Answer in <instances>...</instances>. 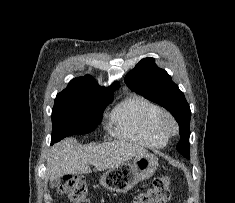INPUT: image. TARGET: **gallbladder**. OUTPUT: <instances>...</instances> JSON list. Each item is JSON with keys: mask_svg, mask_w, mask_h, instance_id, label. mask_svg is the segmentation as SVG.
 Returning <instances> with one entry per match:
<instances>
[{"mask_svg": "<svg viewBox=\"0 0 235 203\" xmlns=\"http://www.w3.org/2000/svg\"><path fill=\"white\" fill-rule=\"evenodd\" d=\"M59 183H60L59 179L53 180V181H51V186L56 187L59 185Z\"/></svg>", "mask_w": 235, "mask_h": 203, "instance_id": "bac80fb5", "label": "gallbladder"}]
</instances>
